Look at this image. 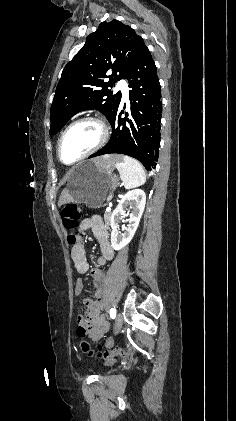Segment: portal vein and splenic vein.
Wrapping results in <instances>:
<instances>
[{"instance_id": "obj_1", "label": "portal vein and splenic vein", "mask_w": 236, "mask_h": 421, "mask_svg": "<svg viewBox=\"0 0 236 421\" xmlns=\"http://www.w3.org/2000/svg\"><path fill=\"white\" fill-rule=\"evenodd\" d=\"M106 211H107V213H110V211H111V206H107Z\"/></svg>"}]
</instances>
